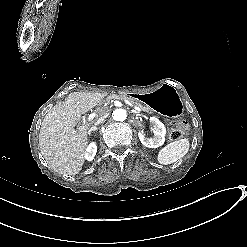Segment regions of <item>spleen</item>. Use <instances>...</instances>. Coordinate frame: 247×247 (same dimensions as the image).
<instances>
[{"mask_svg": "<svg viewBox=\"0 0 247 247\" xmlns=\"http://www.w3.org/2000/svg\"><path fill=\"white\" fill-rule=\"evenodd\" d=\"M190 149V139H177L163 148L157 154V162L160 165H170L182 159Z\"/></svg>", "mask_w": 247, "mask_h": 247, "instance_id": "spleen-1", "label": "spleen"}]
</instances>
